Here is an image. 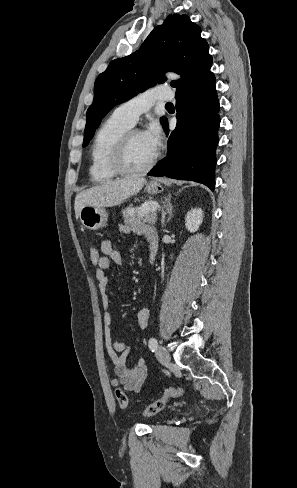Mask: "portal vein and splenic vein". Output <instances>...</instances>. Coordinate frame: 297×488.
<instances>
[{
	"label": "portal vein and splenic vein",
	"instance_id": "1",
	"mask_svg": "<svg viewBox=\"0 0 297 488\" xmlns=\"http://www.w3.org/2000/svg\"><path fill=\"white\" fill-rule=\"evenodd\" d=\"M159 205L157 203L145 204L142 206V211H155Z\"/></svg>",
	"mask_w": 297,
	"mask_h": 488
}]
</instances>
